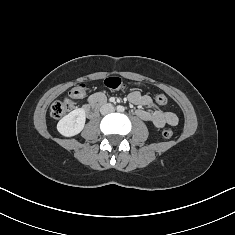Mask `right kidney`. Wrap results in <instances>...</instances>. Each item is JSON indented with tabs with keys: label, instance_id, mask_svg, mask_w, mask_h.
Instances as JSON below:
<instances>
[{
	"label": "right kidney",
	"instance_id": "right-kidney-1",
	"mask_svg": "<svg viewBox=\"0 0 235 235\" xmlns=\"http://www.w3.org/2000/svg\"><path fill=\"white\" fill-rule=\"evenodd\" d=\"M86 114L82 108L75 109L64 116L57 124V130L66 137L79 134L85 125Z\"/></svg>",
	"mask_w": 235,
	"mask_h": 235
}]
</instances>
